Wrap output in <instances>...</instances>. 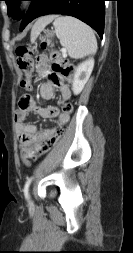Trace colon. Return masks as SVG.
<instances>
[{"label":"colon","instance_id":"1","mask_svg":"<svg viewBox=\"0 0 133 253\" xmlns=\"http://www.w3.org/2000/svg\"><path fill=\"white\" fill-rule=\"evenodd\" d=\"M43 50L46 51L45 56H51V61H47L51 72L63 78H70L73 73V68L68 64L67 60L53 48L50 42L44 41L41 44ZM35 49L28 44L21 45L16 49L17 63L19 68L25 73L26 77L21 81V87L30 89L29 77L34 68ZM62 113L71 115L73 106L71 103H65L62 106ZM62 135V130L59 129L52 137L43 141L40 147L33 153L32 157L36 158L49 152L58 142Z\"/></svg>","mask_w":133,"mask_h":253}]
</instances>
